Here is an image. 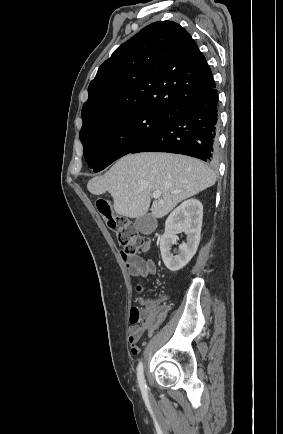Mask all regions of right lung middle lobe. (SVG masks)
Returning a JSON list of instances; mask_svg holds the SVG:
<instances>
[{
    "label": "right lung middle lobe",
    "mask_w": 283,
    "mask_h": 434,
    "mask_svg": "<svg viewBox=\"0 0 283 434\" xmlns=\"http://www.w3.org/2000/svg\"><path fill=\"white\" fill-rule=\"evenodd\" d=\"M169 113L138 110L126 112L80 131L83 154L95 172L130 153L160 127Z\"/></svg>",
    "instance_id": "obj_1"
}]
</instances>
